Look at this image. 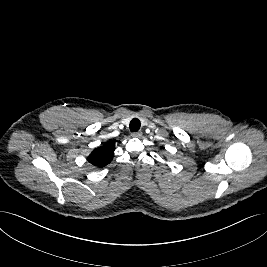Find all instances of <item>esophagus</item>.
<instances>
[{
    "mask_svg": "<svg viewBox=\"0 0 267 267\" xmlns=\"http://www.w3.org/2000/svg\"><path fill=\"white\" fill-rule=\"evenodd\" d=\"M142 136V132H134V133H132V137H137V138H139V137H141Z\"/></svg>",
    "mask_w": 267,
    "mask_h": 267,
    "instance_id": "esophagus-1",
    "label": "esophagus"
}]
</instances>
